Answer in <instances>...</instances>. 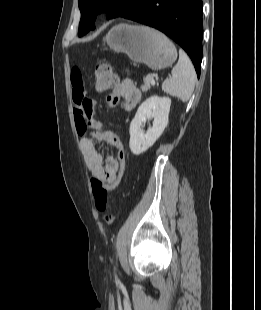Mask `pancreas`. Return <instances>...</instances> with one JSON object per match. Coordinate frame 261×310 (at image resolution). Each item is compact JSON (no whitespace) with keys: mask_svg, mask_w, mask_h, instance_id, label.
<instances>
[{"mask_svg":"<svg viewBox=\"0 0 261 310\" xmlns=\"http://www.w3.org/2000/svg\"><path fill=\"white\" fill-rule=\"evenodd\" d=\"M153 81L154 79L152 75H147L146 77H144V85H141V90L143 92H147L151 88V85H153Z\"/></svg>","mask_w":261,"mask_h":310,"instance_id":"cf45deb5","label":"pancreas"}]
</instances>
